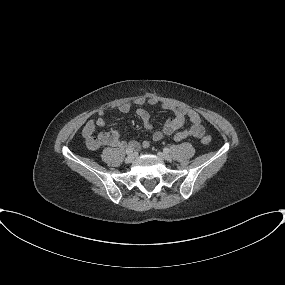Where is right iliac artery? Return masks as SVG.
Masks as SVG:
<instances>
[{
  "label": "right iliac artery",
  "instance_id": "82829eb1",
  "mask_svg": "<svg viewBox=\"0 0 285 285\" xmlns=\"http://www.w3.org/2000/svg\"><path fill=\"white\" fill-rule=\"evenodd\" d=\"M132 152H133V149H132V148H127V149H126V153H127V154H130V153H132Z\"/></svg>",
  "mask_w": 285,
  "mask_h": 285
}]
</instances>
